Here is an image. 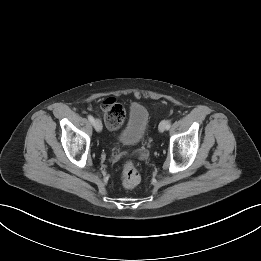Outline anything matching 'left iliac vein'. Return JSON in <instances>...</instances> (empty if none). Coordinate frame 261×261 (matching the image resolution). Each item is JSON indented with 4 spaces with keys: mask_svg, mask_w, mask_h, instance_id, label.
<instances>
[{
    "mask_svg": "<svg viewBox=\"0 0 261 261\" xmlns=\"http://www.w3.org/2000/svg\"><path fill=\"white\" fill-rule=\"evenodd\" d=\"M167 123H168L167 120H163L160 122L158 127L160 132H164L166 130Z\"/></svg>",
    "mask_w": 261,
    "mask_h": 261,
    "instance_id": "1",
    "label": "left iliac vein"
}]
</instances>
